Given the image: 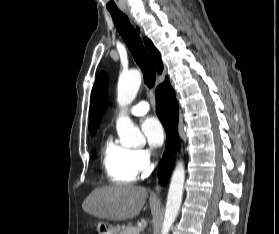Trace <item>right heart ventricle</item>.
Masks as SVG:
<instances>
[{
	"label": "right heart ventricle",
	"mask_w": 279,
	"mask_h": 234,
	"mask_svg": "<svg viewBox=\"0 0 279 234\" xmlns=\"http://www.w3.org/2000/svg\"><path fill=\"white\" fill-rule=\"evenodd\" d=\"M102 166L108 179L117 185L133 183L139 176L135 150L109 137L102 147Z\"/></svg>",
	"instance_id": "e07e8e85"
}]
</instances>
